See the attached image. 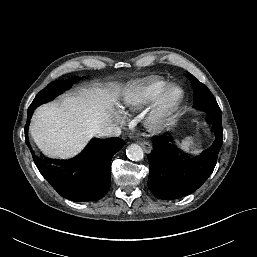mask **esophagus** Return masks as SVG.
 Wrapping results in <instances>:
<instances>
[{
	"label": "esophagus",
	"mask_w": 257,
	"mask_h": 257,
	"mask_svg": "<svg viewBox=\"0 0 257 257\" xmlns=\"http://www.w3.org/2000/svg\"><path fill=\"white\" fill-rule=\"evenodd\" d=\"M139 144L146 153H149L152 150V146L146 141L139 142Z\"/></svg>",
	"instance_id": "obj_1"
}]
</instances>
